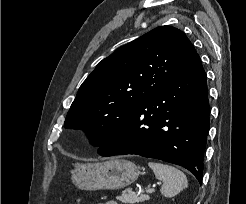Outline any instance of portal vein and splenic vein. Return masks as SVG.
Instances as JSON below:
<instances>
[{
  "instance_id": "18ae733b",
  "label": "portal vein and splenic vein",
  "mask_w": 246,
  "mask_h": 204,
  "mask_svg": "<svg viewBox=\"0 0 246 204\" xmlns=\"http://www.w3.org/2000/svg\"><path fill=\"white\" fill-rule=\"evenodd\" d=\"M154 191H155L154 188H149V189L146 190V193H147V194H151V193H153ZM129 195H134V193H133V192H130Z\"/></svg>"
}]
</instances>
